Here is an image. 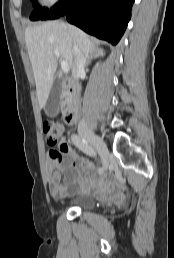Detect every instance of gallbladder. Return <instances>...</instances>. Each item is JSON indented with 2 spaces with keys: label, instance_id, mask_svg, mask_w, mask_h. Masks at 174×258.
Instances as JSON below:
<instances>
[{
  "label": "gallbladder",
  "instance_id": "1",
  "mask_svg": "<svg viewBox=\"0 0 174 258\" xmlns=\"http://www.w3.org/2000/svg\"><path fill=\"white\" fill-rule=\"evenodd\" d=\"M61 95H62V85L60 81H57L51 90L48 102L46 104L45 112L47 116L53 118L58 115Z\"/></svg>",
  "mask_w": 174,
  "mask_h": 258
}]
</instances>
